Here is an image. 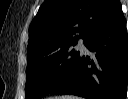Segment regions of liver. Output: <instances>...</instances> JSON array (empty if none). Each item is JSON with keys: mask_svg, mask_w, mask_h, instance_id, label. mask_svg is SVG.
Here are the masks:
<instances>
[{"mask_svg": "<svg viewBox=\"0 0 128 99\" xmlns=\"http://www.w3.org/2000/svg\"><path fill=\"white\" fill-rule=\"evenodd\" d=\"M55 99H81V98H78L76 96H61Z\"/></svg>", "mask_w": 128, "mask_h": 99, "instance_id": "6515ba94", "label": "liver"}]
</instances>
